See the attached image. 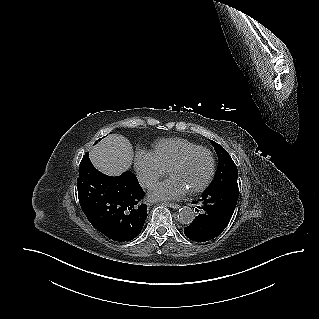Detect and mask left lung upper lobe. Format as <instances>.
<instances>
[{"instance_id":"1","label":"left lung upper lobe","mask_w":319,"mask_h":319,"mask_svg":"<svg viewBox=\"0 0 319 319\" xmlns=\"http://www.w3.org/2000/svg\"><path fill=\"white\" fill-rule=\"evenodd\" d=\"M211 143L219 158V164L214 180L207 190H215L227 185L237 184L238 171L232 158L228 152L218 143L212 140Z\"/></svg>"}]
</instances>
